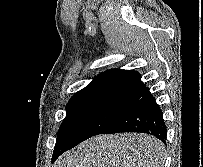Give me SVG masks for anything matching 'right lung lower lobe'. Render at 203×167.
Returning <instances> with one entry per match:
<instances>
[{"label": "right lung lower lobe", "mask_w": 203, "mask_h": 167, "mask_svg": "<svg viewBox=\"0 0 203 167\" xmlns=\"http://www.w3.org/2000/svg\"><path fill=\"white\" fill-rule=\"evenodd\" d=\"M120 132L147 133L165 142L167 132L166 125L160 107L152 95L138 100L101 134ZM66 150H68V148L65 145L56 143L52 162Z\"/></svg>", "instance_id": "obj_1"}]
</instances>
